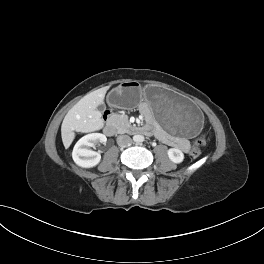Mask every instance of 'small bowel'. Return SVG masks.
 <instances>
[{
  "label": "small bowel",
  "instance_id": "1",
  "mask_svg": "<svg viewBox=\"0 0 264 264\" xmlns=\"http://www.w3.org/2000/svg\"><path fill=\"white\" fill-rule=\"evenodd\" d=\"M156 135L164 142L172 145V146H176L179 147L180 149H182L183 151H187L189 148L188 142L184 139H174L172 137H170L169 135H167L163 130L161 129H157L156 130Z\"/></svg>",
  "mask_w": 264,
  "mask_h": 264
}]
</instances>
